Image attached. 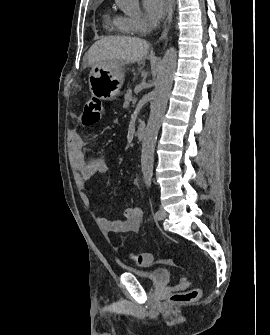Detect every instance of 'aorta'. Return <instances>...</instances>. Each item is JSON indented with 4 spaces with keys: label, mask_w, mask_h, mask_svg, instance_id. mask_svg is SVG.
Listing matches in <instances>:
<instances>
[{
    "label": "aorta",
    "mask_w": 270,
    "mask_h": 335,
    "mask_svg": "<svg viewBox=\"0 0 270 335\" xmlns=\"http://www.w3.org/2000/svg\"><path fill=\"white\" fill-rule=\"evenodd\" d=\"M177 64L175 48H169L160 62L156 74L155 88L152 92L151 112L146 126L141 154V171L145 181H151L153 175L154 150L157 134L165 114L168 96L172 88L173 76Z\"/></svg>",
    "instance_id": "aorta-1"
}]
</instances>
